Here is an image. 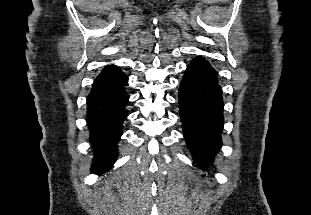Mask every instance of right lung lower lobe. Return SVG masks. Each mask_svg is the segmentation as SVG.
Wrapping results in <instances>:
<instances>
[{
    "mask_svg": "<svg viewBox=\"0 0 311 215\" xmlns=\"http://www.w3.org/2000/svg\"><path fill=\"white\" fill-rule=\"evenodd\" d=\"M127 76L114 65L106 66L95 79L87 97V126L95 158L92 171H107L118 153L116 144L122 135L129 95L125 90Z\"/></svg>",
    "mask_w": 311,
    "mask_h": 215,
    "instance_id": "1",
    "label": "right lung lower lobe"
}]
</instances>
